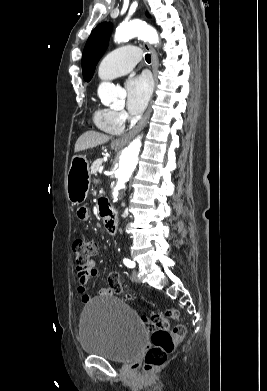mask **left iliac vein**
Masks as SVG:
<instances>
[{"label":"left iliac vein","mask_w":267,"mask_h":391,"mask_svg":"<svg viewBox=\"0 0 267 391\" xmlns=\"http://www.w3.org/2000/svg\"><path fill=\"white\" fill-rule=\"evenodd\" d=\"M132 279L135 281V282H140L139 278H138V272L137 270H133L132 271Z\"/></svg>","instance_id":"1"}]
</instances>
